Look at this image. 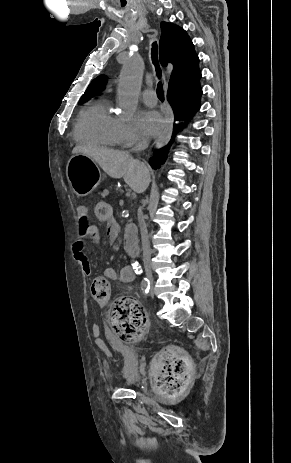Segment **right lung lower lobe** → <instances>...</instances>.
<instances>
[{"mask_svg": "<svg viewBox=\"0 0 291 463\" xmlns=\"http://www.w3.org/2000/svg\"><path fill=\"white\" fill-rule=\"evenodd\" d=\"M201 78V72L196 75V78L192 80L190 84L185 87H176L168 89V101L170 102L174 115L175 121L185 120V125L189 119L200 109V97L202 95V89L199 83ZM182 129V125L174 123L173 135L170 142L162 149L157 150L154 156L150 158V165L153 169L160 168L165 162L166 156L169 153L170 147L175 139L178 130Z\"/></svg>", "mask_w": 291, "mask_h": 463, "instance_id": "right-lung-lower-lobe-1", "label": "right lung lower lobe"}]
</instances>
